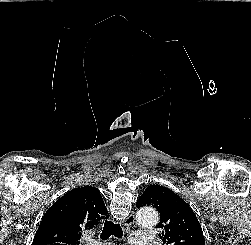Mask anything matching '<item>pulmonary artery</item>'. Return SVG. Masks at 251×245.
Wrapping results in <instances>:
<instances>
[{"mask_svg": "<svg viewBox=\"0 0 251 245\" xmlns=\"http://www.w3.org/2000/svg\"><path fill=\"white\" fill-rule=\"evenodd\" d=\"M131 245H151V236L143 232H132L130 234ZM98 245H111V243H98Z\"/></svg>", "mask_w": 251, "mask_h": 245, "instance_id": "pulmonary-artery-1", "label": "pulmonary artery"}]
</instances>
